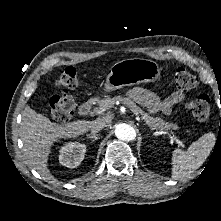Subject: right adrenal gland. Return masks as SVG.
Segmentation results:
<instances>
[{"label": "right adrenal gland", "mask_w": 221, "mask_h": 221, "mask_svg": "<svg viewBox=\"0 0 221 221\" xmlns=\"http://www.w3.org/2000/svg\"><path fill=\"white\" fill-rule=\"evenodd\" d=\"M86 136H87V138H89L91 140H98V138H99V136L96 134H92V135L87 134Z\"/></svg>", "instance_id": "2a0ac1e0"}]
</instances>
